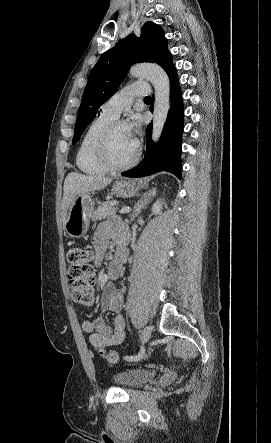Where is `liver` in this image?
<instances>
[{
    "mask_svg": "<svg viewBox=\"0 0 271 443\" xmlns=\"http://www.w3.org/2000/svg\"><path fill=\"white\" fill-rule=\"evenodd\" d=\"M110 182H112V178H96V176H83V174H77V172H70L65 178L63 188L62 222L66 223L67 210L72 206L77 194L103 190Z\"/></svg>",
    "mask_w": 271,
    "mask_h": 443,
    "instance_id": "6515ba94",
    "label": "liver"
}]
</instances>
